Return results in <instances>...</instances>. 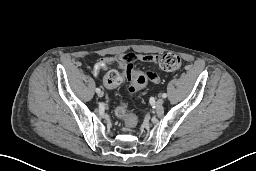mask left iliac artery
I'll return each mask as SVG.
<instances>
[{"label":"left iliac artery","mask_w":256,"mask_h":171,"mask_svg":"<svg viewBox=\"0 0 256 171\" xmlns=\"http://www.w3.org/2000/svg\"><path fill=\"white\" fill-rule=\"evenodd\" d=\"M162 97H163V98H166V97H167V94H166V93H163V94H162Z\"/></svg>","instance_id":"1"}]
</instances>
